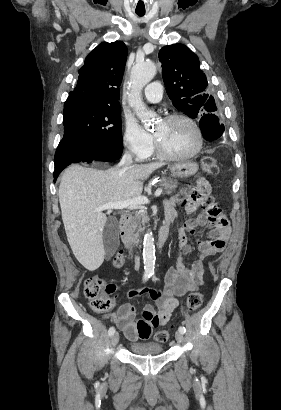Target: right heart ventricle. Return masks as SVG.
<instances>
[{"instance_id":"e07e8e85","label":"right heart ventricle","mask_w":281,"mask_h":410,"mask_svg":"<svg viewBox=\"0 0 281 410\" xmlns=\"http://www.w3.org/2000/svg\"><path fill=\"white\" fill-rule=\"evenodd\" d=\"M153 152H154V149H152V151H151L150 155H151V154H153ZM150 155H149V156H150Z\"/></svg>"}]
</instances>
